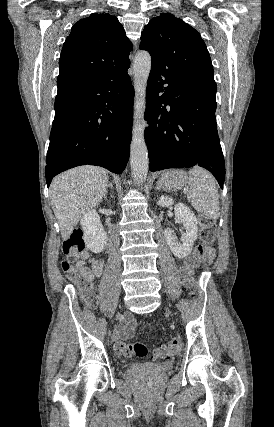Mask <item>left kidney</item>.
Returning <instances> with one entry per match:
<instances>
[{"mask_svg":"<svg viewBox=\"0 0 274 427\" xmlns=\"http://www.w3.org/2000/svg\"><path fill=\"white\" fill-rule=\"evenodd\" d=\"M173 204L172 198H167V196H161L158 200V206H162V208H168V206H173ZM174 212L176 217H179L181 223H183L186 231L182 233L181 241L176 239L170 227H166L164 235L172 253L181 259V257H186V255L191 253L194 241L197 239V217L184 204H176Z\"/></svg>","mask_w":274,"mask_h":427,"instance_id":"left-kidney-1","label":"left kidney"}]
</instances>
